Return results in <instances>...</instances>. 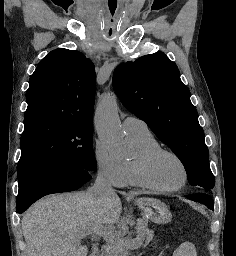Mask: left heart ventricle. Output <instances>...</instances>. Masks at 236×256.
Masks as SVG:
<instances>
[{"instance_id": "1", "label": "left heart ventricle", "mask_w": 236, "mask_h": 256, "mask_svg": "<svg viewBox=\"0 0 236 256\" xmlns=\"http://www.w3.org/2000/svg\"><path fill=\"white\" fill-rule=\"evenodd\" d=\"M152 177L164 187H175L182 183L184 170L181 164L171 155H160L152 164Z\"/></svg>"}]
</instances>
